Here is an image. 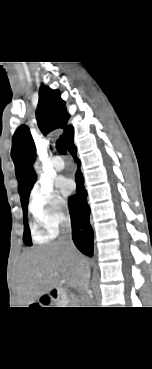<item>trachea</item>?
Segmentation results:
<instances>
[{
  "instance_id": "1",
  "label": "trachea",
  "mask_w": 152,
  "mask_h": 369,
  "mask_svg": "<svg viewBox=\"0 0 152 369\" xmlns=\"http://www.w3.org/2000/svg\"><path fill=\"white\" fill-rule=\"evenodd\" d=\"M56 148L60 154H63V155L67 154V148H66L65 142L62 139L57 140Z\"/></svg>"
}]
</instances>
